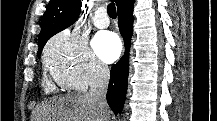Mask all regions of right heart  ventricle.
<instances>
[{"mask_svg": "<svg viewBox=\"0 0 217 121\" xmlns=\"http://www.w3.org/2000/svg\"><path fill=\"white\" fill-rule=\"evenodd\" d=\"M58 86L60 87V89H63V88H64V87L60 86L59 84H58ZM44 87H45V89H46L47 91H51V92L57 90V88H56V86H55L54 84H50V83H48V82H45Z\"/></svg>", "mask_w": 217, "mask_h": 121, "instance_id": "1", "label": "right heart ventricle"}]
</instances>
